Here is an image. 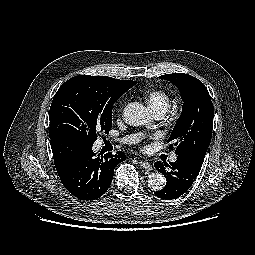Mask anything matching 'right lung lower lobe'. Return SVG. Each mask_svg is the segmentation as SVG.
I'll list each match as a JSON object with an SVG mask.
<instances>
[{
  "label": "right lung lower lobe",
  "instance_id": "right-lung-lower-lobe-1",
  "mask_svg": "<svg viewBox=\"0 0 255 255\" xmlns=\"http://www.w3.org/2000/svg\"><path fill=\"white\" fill-rule=\"evenodd\" d=\"M93 144L67 137L51 139L55 168L65 188L81 200H95L110 187L114 168L126 160L122 151L112 155L96 153Z\"/></svg>",
  "mask_w": 255,
  "mask_h": 255
}]
</instances>
